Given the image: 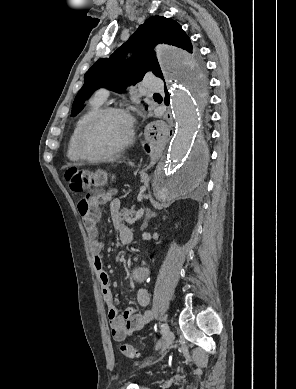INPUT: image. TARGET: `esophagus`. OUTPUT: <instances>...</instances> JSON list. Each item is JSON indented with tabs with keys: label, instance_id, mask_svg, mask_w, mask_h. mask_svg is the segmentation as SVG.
Segmentation results:
<instances>
[{
	"label": "esophagus",
	"instance_id": "obj_1",
	"mask_svg": "<svg viewBox=\"0 0 296 389\" xmlns=\"http://www.w3.org/2000/svg\"><path fill=\"white\" fill-rule=\"evenodd\" d=\"M145 126L147 131H150L151 134L158 135L161 131H164L166 123L164 118H160L158 120L147 118Z\"/></svg>",
	"mask_w": 296,
	"mask_h": 389
}]
</instances>
